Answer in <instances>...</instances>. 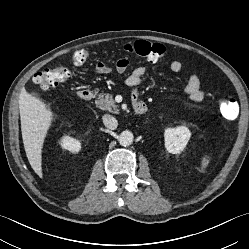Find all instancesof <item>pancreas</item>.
<instances>
[{
  "instance_id": "cf45deb5",
  "label": "pancreas",
  "mask_w": 249,
  "mask_h": 249,
  "mask_svg": "<svg viewBox=\"0 0 249 249\" xmlns=\"http://www.w3.org/2000/svg\"><path fill=\"white\" fill-rule=\"evenodd\" d=\"M96 106L102 110H107L111 113L118 114V106L115 104L111 94H99L96 100Z\"/></svg>"
}]
</instances>
